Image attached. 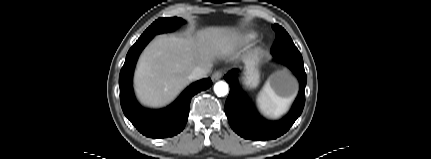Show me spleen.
Listing matches in <instances>:
<instances>
[{"instance_id": "obj_1", "label": "spleen", "mask_w": 431, "mask_h": 159, "mask_svg": "<svg viewBox=\"0 0 431 159\" xmlns=\"http://www.w3.org/2000/svg\"><path fill=\"white\" fill-rule=\"evenodd\" d=\"M259 110L269 118H278L284 114L293 101L292 97L279 96L267 82L257 95Z\"/></svg>"}]
</instances>
